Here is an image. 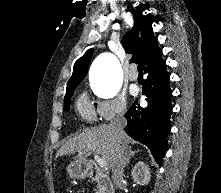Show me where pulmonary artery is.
I'll list each match as a JSON object with an SVG mask.
<instances>
[{
	"mask_svg": "<svg viewBox=\"0 0 221 193\" xmlns=\"http://www.w3.org/2000/svg\"><path fill=\"white\" fill-rule=\"evenodd\" d=\"M127 77L130 81H136L138 79V73L133 69L127 74Z\"/></svg>",
	"mask_w": 221,
	"mask_h": 193,
	"instance_id": "obj_1",
	"label": "pulmonary artery"
}]
</instances>
